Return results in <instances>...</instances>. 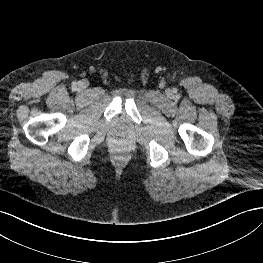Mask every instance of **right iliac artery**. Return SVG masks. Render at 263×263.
<instances>
[{
    "label": "right iliac artery",
    "mask_w": 263,
    "mask_h": 263,
    "mask_svg": "<svg viewBox=\"0 0 263 263\" xmlns=\"http://www.w3.org/2000/svg\"><path fill=\"white\" fill-rule=\"evenodd\" d=\"M72 85H73V87H76L77 84L75 82H73Z\"/></svg>",
    "instance_id": "1"
}]
</instances>
